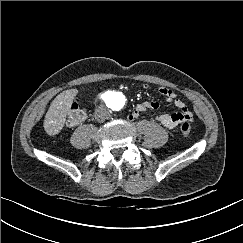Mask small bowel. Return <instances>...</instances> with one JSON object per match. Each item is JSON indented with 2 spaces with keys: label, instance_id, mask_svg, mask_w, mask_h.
Instances as JSON below:
<instances>
[{
  "label": "small bowel",
  "instance_id": "small-bowel-1",
  "mask_svg": "<svg viewBox=\"0 0 243 243\" xmlns=\"http://www.w3.org/2000/svg\"><path fill=\"white\" fill-rule=\"evenodd\" d=\"M143 88L148 90L150 85L145 83L143 84ZM159 93L162 95L166 102L174 103V105L179 109L178 112L172 114H161L156 117V120L161 123L166 128H174L181 124L184 121L192 122V113L188 109L185 101L180 99L178 95L167 87H160ZM159 108V103L156 101H148L141 103L136 106L134 111L131 114L132 118L138 117L140 114L148 112L150 110H157Z\"/></svg>",
  "mask_w": 243,
  "mask_h": 243
}]
</instances>
